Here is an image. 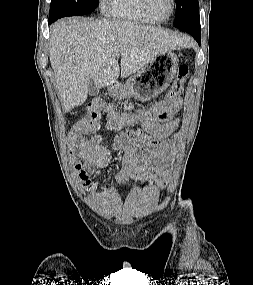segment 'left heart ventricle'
Here are the masks:
<instances>
[{"label": "left heart ventricle", "mask_w": 253, "mask_h": 285, "mask_svg": "<svg viewBox=\"0 0 253 285\" xmlns=\"http://www.w3.org/2000/svg\"><path fill=\"white\" fill-rule=\"evenodd\" d=\"M148 8L151 14L158 19L166 18L171 11L170 0H148Z\"/></svg>", "instance_id": "1"}]
</instances>
